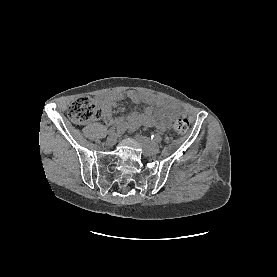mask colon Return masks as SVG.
<instances>
[{"label":"colon","instance_id":"5ec220e1","mask_svg":"<svg viewBox=\"0 0 277 277\" xmlns=\"http://www.w3.org/2000/svg\"><path fill=\"white\" fill-rule=\"evenodd\" d=\"M106 108L95 103L89 97H79L75 99L68 108V116L75 123H86L100 119L105 116ZM189 128V120L185 117L178 118L172 125V130L176 135H183Z\"/></svg>","mask_w":277,"mask_h":277}]
</instances>
